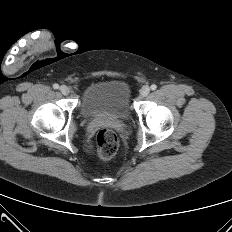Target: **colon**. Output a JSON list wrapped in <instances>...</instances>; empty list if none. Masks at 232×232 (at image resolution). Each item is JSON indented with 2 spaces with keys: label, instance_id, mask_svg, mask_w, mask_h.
I'll return each instance as SVG.
<instances>
[{
  "label": "colon",
  "instance_id": "1",
  "mask_svg": "<svg viewBox=\"0 0 232 232\" xmlns=\"http://www.w3.org/2000/svg\"><path fill=\"white\" fill-rule=\"evenodd\" d=\"M98 155L102 159L113 157L119 146V141L116 133L108 128L100 129L96 136Z\"/></svg>",
  "mask_w": 232,
  "mask_h": 232
}]
</instances>
